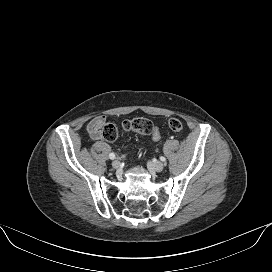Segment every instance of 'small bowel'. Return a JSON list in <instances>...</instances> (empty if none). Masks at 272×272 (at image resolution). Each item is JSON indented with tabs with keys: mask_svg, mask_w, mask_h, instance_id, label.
I'll use <instances>...</instances> for the list:
<instances>
[{
	"mask_svg": "<svg viewBox=\"0 0 272 272\" xmlns=\"http://www.w3.org/2000/svg\"><path fill=\"white\" fill-rule=\"evenodd\" d=\"M106 123L105 116L98 115L93 117L87 124V132L90 138L94 141H99L103 139V128Z\"/></svg>",
	"mask_w": 272,
	"mask_h": 272,
	"instance_id": "small-bowel-1",
	"label": "small bowel"
}]
</instances>
